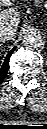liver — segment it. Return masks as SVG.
<instances>
[{"label": "liver", "mask_w": 47, "mask_h": 129, "mask_svg": "<svg viewBox=\"0 0 47 129\" xmlns=\"http://www.w3.org/2000/svg\"><path fill=\"white\" fill-rule=\"evenodd\" d=\"M15 0H0L1 5L10 6V8L0 12V28L2 26H11L15 30L19 24L20 14L19 12L13 8V2Z\"/></svg>", "instance_id": "liver-1"}]
</instances>
